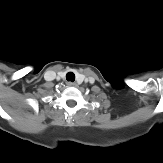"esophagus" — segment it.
Wrapping results in <instances>:
<instances>
[{
    "label": "esophagus",
    "mask_w": 163,
    "mask_h": 163,
    "mask_svg": "<svg viewBox=\"0 0 163 163\" xmlns=\"http://www.w3.org/2000/svg\"><path fill=\"white\" fill-rule=\"evenodd\" d=\"M67 85L69 87H76L77 86V84L75 82H68Z\"/></svg>",
    "instance_id": "esophagus-1"
}]
</instances>
